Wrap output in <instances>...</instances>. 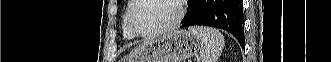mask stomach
I'll use <instances>...</instances> for the list:
<instances>
[{
	"label": "stomach",
	"instance_id": "stomach-1",
	"mask_svg": "<svg viewBox=\"0 0 331 62\" xmlns=\"http://www.w3.org/2000/svg\"><path fill=\"white\" fill-rule=\"evenodd\" d=\"M201 41L186 30H173L139 44L130 54L132 62H184L200 49Z\"/></svg>",
	"mask_w": 331,
	"mask_h": 62
}]
</instances>
